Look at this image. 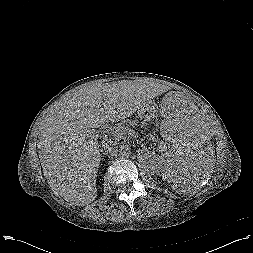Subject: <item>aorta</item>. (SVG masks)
<instances>
[{
	"mask_svg": "<svg viewBox=\"0 0 253 253\" xmlns=\"http://www.w3.org/2000/svg\"><path fill=\"white\" fill-rule=\"evenodd\" d=\"M131 154V148L128 145H122L119 148V155L123 158L129 157Z\"/></svg>",
	"mask_w": 253,
	"mask_h": 253,
	"instance_id": "obj_1",
	"label": "aorta"
}]
</instances>
